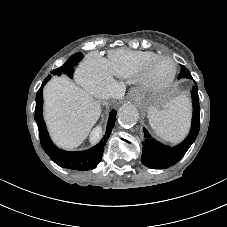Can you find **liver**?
I'll return each instance as SVG.
<instances>
[{"mask_svg": "<svg viewBox=\"0 0 227 227\" xmlns=\"http://www.w3.org/2000/svg\"><path fill=\"white\" fill-rule=\"evenodd\" d=\"M44 97L45 119L55 143L69 150L78 147L97 122L100 104L64 78L50 81Z\"/></svg>", "mask_w": 227, "mask_h": 227, "instance_id": "obj_1", "label": "liver"}]
</instances>
